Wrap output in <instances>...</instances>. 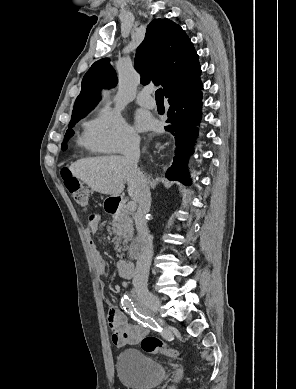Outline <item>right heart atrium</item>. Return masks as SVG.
Returning a JSON list of instances; mask_svg holds the SVG:
<instances>
[{
	"instance_id": "1",
	"label": "right heart atrium",
	"mask_w": 296,
	"mask_h": 389,
	"mask_svg": "<svg viewBox=\"0 0 296 389\" xmlns=\"http://www.w3.org/2000/svg\"><path fill=\"white\" fill-rule=\"evenodd\" d=\"M93 121L95 141L102 152L120 153L139 142L138 134L121 111L110 104H104Z\"/></svg>"
}]
</instances>
